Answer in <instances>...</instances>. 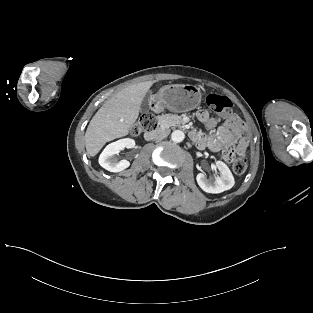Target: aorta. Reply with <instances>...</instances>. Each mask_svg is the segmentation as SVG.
Wrapping results in <instances>:
<instances>
[{
	"label": "aorta",
	"instance_id": "obj_1",
	"mask_svg": "<svg viewBox=\"0 0 313 313\" xmlns=\"http://www.w3.org/2000/svg\"><path fill=\"white\" fill-rule=\"evenodd\" d=\"M185 134L181 130H175L171 134V139L173 142L180 143L184 140Z\"/></svg>",
	"mask_w": 313,
	"mask_h": 313
}]
</instances>
